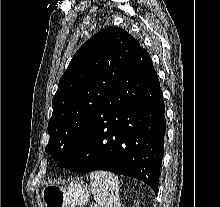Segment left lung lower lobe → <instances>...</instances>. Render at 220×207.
I'll return each instance as SVG.
<instances>
[{"mask_svg": "<svg viewBox=\"0 0 220 207\" xmlns=\"http://www.w3.org/2000/svg\"><path fill=\"white\" fill-rule=\"evenodd\" d=\"M163 94L140 47L111 89L88 133L58 164L78 173L107 170L158 190L166 119Z\"/></svg>", "mask_w": 220, "mask_h": 207, "instance_id": "left-lung-lower-lobe-1", "label": "left lung lower lobe"}]
</instances>
